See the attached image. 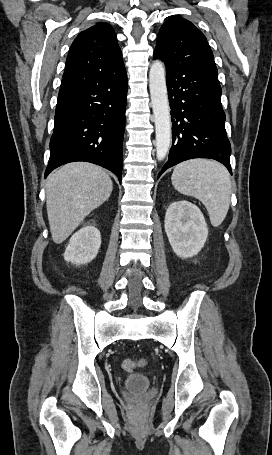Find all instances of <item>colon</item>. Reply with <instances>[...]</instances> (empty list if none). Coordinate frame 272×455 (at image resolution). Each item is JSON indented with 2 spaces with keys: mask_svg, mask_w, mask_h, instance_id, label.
I'll list each match as a JSON object with an SVG mask.
<instances>
[{
  "mask_svg": "<svg viewBox=\"0 0 272 455\" xmlns=\"http://www.w3.org/2000/svg\"><path fill=\"white\" fill-rule=\"evenodd\" d=\"M144 364L143 361H136L133 359H126L122 363V367L125 371L132 372Z\"/></svg>",
  "mask_w": 272,
  "mask_h": 455,
  "instance_id": "5ec220e1",
  "label": "colon"
}]
</instances>
